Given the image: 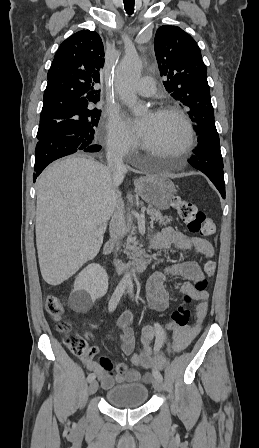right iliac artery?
<instances>
[{"label": "right iliac artery", "mask_w": 259, "mask_h": 448, "mask_svg": "<svg viewBox=\"0 0 259 448\" xmlns=\"http://www.w3.org/2000/svg\"><path fill=\"white\" fill-rule=\"evenodd\" d=\"M125 289H126V284L125 283H120L116 287V289H115V291H114V293L111 296V299L109 301V305H108L109 312H112V311L115 310L117 304L120 301V298L122 297L123 293L125 292ZM95 377L96 376H95L94 373L89 374L88 377H87L88 382H92L95 379Z\"/></svg>", "instance_id": "82829eb1"}]
</instances>
